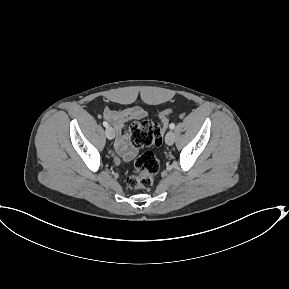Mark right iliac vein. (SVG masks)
Wrapping results in <instances>:
<instances>
[{"label":"right iliac vein","mask_w":289,"mask_h":289,"mask_svg":"<svg viewBox=\"0 0 289 289\" xmlns=\"http://www.w3.org/2000/svg\"><path fill=\"white\" fill-rule=\"evenodd\" d=\"M105 134H106V137L108 138V139H114V137H115V131H114V129L111 127V126H108L107 128H106V130H105Z\"/></svg>","instance_id":"1"}]
</instances>
